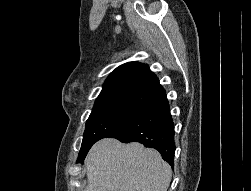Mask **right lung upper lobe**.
Segmentation results:
<instances>
[{
    "label": "right lung upper lobe",
    "instance_id": "1",
    "mask_svg": "<svg viewBox=\"0 0 251 191\" xmlns=\"http://www.w3.org/2000/svg\"><path fill=\"white\" fill-rule=\"evenodd\" d=\"M165 93L147 65L129 62L109 75L94 107L125 105L143 110Z\"/></svg>",
    "mask_w": 251,
    "mask_h": 191
}]
</instances>
